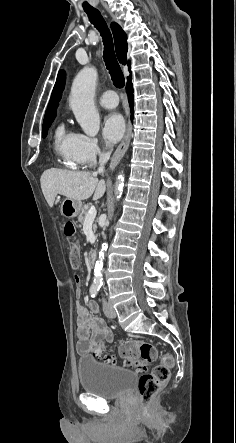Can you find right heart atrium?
<instances>
[{"label":"right heart atrium","instance_id":"right-heart-atrium-1","mask_svg":"<svg viewBox=\"0 0 236 443\" xmlns=\"http://www.w3.org/2000/svg\"><path fill=\"white\" fill-rule=\"evenodd\" d=\"M101 151V146L96 138L77 134L76 152L83 165L93 166Z\"/></svg>","mask_w":236,"mask_h":443}]
</instances>
